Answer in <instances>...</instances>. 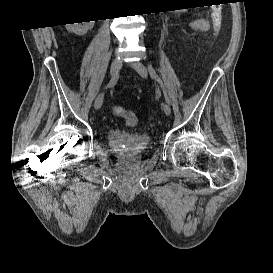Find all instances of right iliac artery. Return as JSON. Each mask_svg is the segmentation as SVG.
I'll use <instances>...</instances> for the list:
<instances>
[{
    "label": "right iliac artery",
    "mask_w": 273,
    "mask_h": 273,
    "mask_svg": "<svg viewBox=\"0 0 273 273\" xmlns=\"http://www.w3.org/2000/svg\"><path fill=\"white\" fill-rule=\"evenodd\" d=\"M117 80H118V75H116V77L113 78V79L109 82V84L107 85V87H111V86L115 85L116 82H117Z\"/></svg>",
    "instance_id": "82829eb1"
}]
</instances>
